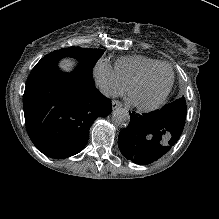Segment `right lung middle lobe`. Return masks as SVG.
Instances as JSON below:
<instances>
[{
  "instance_id": "1",
  "label": "right lung middle lobe",
  "mask_w": 219,
  "mask_h": 219,
  "mask_svg": "<svg viewBox=\"0 0 219 219\" xmlns=\"http://www.w3.org/2000/svg\"><path fill=\"white\" fill-rule=\"evenodd\" d=\"M104 50L101 49H90V48H80V47H70L63 48L58 51H53L50 54L43 57L40 61L52 59V58H62V57H73L79 61L80 64L93 69L97 60L102 56Z\"/></svg>"
}]
</instances>
